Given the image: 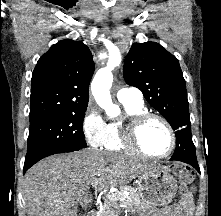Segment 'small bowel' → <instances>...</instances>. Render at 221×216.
Here are the masks:
<instances>
[{
	"mask_svg": "<svg viewBox=\"0 0 221 216\" xmlns=\"http://www.w3.org/2000/svg\"><path fill=\"white\" fill-rule=\"evenodd\" d=\"M194 207L192 203L191 194L189 199L183 194L179 203L164 208L160 216H193Z\"/></svg>",
	"mask_w": 221,
	"mask_h": 216,
	"instance_id": "obj_1",
	"label": "small bowel"
}]
</instances>
